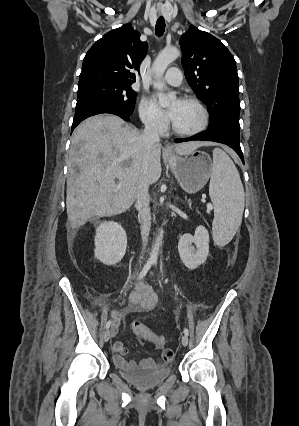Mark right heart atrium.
<instances>
[{"mask_svg": "<svg viewBox=\"0 0 299 426\" xmlns=\"http://www.w3.org/2000/svg\"><path fill=\"white\" fill-rule=\"evenodd\" d=\"M139 114L142 122L147 128L155 131H161L165 128L163 117L156 111L148 99H142L139 106Z\"/></svg>", "mask_w": 299, "mask_h": 426, "instance_id": "d8ad5b80", "label": "right heart atrium"}]
</instances>
